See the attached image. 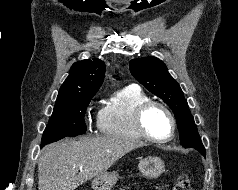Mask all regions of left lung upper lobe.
Masks as SVG:
<instances>
[{
    "instance_id": "5c2ea615",
    "label": "left lung upper lobe",
    "mask_w": 238,
    "mask_h": 190,
    "mask_svg": "<svg viewBox=\"0 0 238 190\" xmlns=\"http://www.w3.org/2000/svg\"><path fill=\"white\" fill-rule=\"evenodd\" d=\"M130 71L147 90L160 97L172 109L178 123L180 144L183 147L195 148L205 156V148L188 103L166 65L158 58L144 57L131 60Z\"/></svg>"
}]
</instances>
